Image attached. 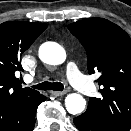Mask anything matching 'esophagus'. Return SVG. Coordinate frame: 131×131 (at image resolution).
Instances as JSON below:
<instances>
[{
  "label": "esophagus",
  "mask_w": 131,
  "mask_h": 131,
  "mask_svg": "<svg viewBox=\"0 0 131 131\" xmlns=\"http://www.w3.org/2000/svg\"><path fill=\"white\" fill-rule=\"evenodd\" d=\"M51 94L55 97H59L65 95L66 91H52Z\"/></svg>",
  "instance_id": "obj_1"
}]
</instances>
